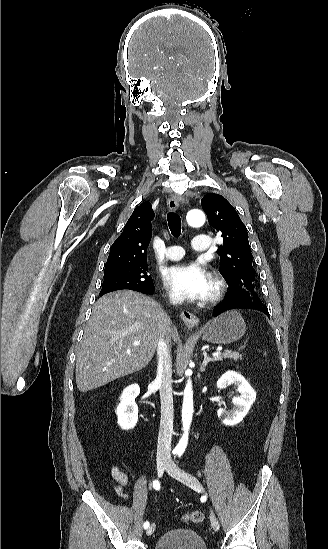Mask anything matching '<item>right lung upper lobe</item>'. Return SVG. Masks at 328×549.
Returning <instances> with one entry per match:
<instances>
[{
	"mask_svg": "<svg viewBox=\"0 0 328 549\" xmlns=\"http://www.w3.org/2000/svg\"><path fill=\"white\" fill-rule=\"evenodd\" d=\"M154 212L150 203L137 206L122 234L110 248L105 271L147 263V247L152 236Z\"/></svg>",
	"mask_w": 328,
	"mask_h": 549,
	"instance_id": "right-lung-upper-lobe-1",
	"label": "right lung upper lobe"
}]
</instances>
